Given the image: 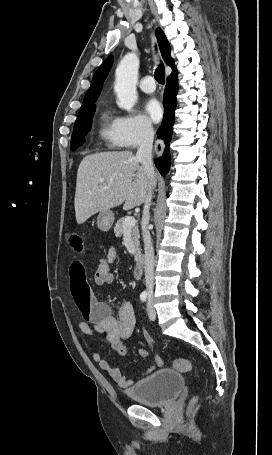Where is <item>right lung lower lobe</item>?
I'll return each instance as SVG.
<instances>
[{
    "label": "right lung lower lobe",
    "instance_id": "1",
    "mask_svg": "<svg viewBox=\"0 0 272 455\" xmlns=\"http://www.w3.org/2000/svg\"><path fill=\"white\" fill-rule=\"evenodd\" d=\"M178 91L177 74L170 75L167 78L163 104L165 108L163 122L157 131L158 138L163 139L166 149L163 155L155 160V165L161 175L165 176L170 169V152L169 143L173 133L174 110L176 107V95Z\"/></svg>",
    "mask_w": 272,
    "mask_h": 455
}]
</instances>
